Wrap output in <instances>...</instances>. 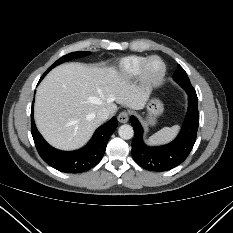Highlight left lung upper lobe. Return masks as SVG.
<instances>
[{"label": "left lung upper lobe", "instance_id": "obj_1", "mask_svg": "<svg viewBox=\"0 0 233 233\" xmlns=\"http://www.w3.org/2000/svg\"><path fill=\"white\" fill-rule=\"evenodd\" d=\"M173 79L184 89L192 87L185 70L180 65H178V69L175 71Z\"/></svg>", "mask_w": 233, "mask_h": 233}]
</instances>
